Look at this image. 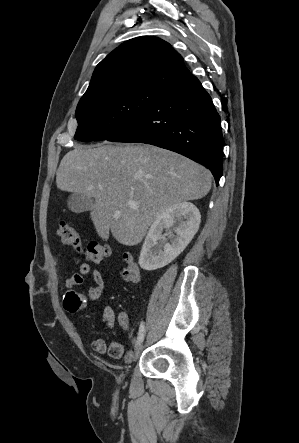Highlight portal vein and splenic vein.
Here are the masks:
<instances>
[{
    "label": "portal vein and splenic vein",
    "instance_id": "18ae733b",
    "mask_svg": "<svg viewBox=\"0 0 299 443\" xmlns=\"http://www.w3.org/2000/svg\"><path fill=\"white\" fill-rule=\"evenodd\" d=\"M99 189H103V188L100 186ZM128 205H129L130 207H134V208L137 207V204H136L135 202H133V201H129V202H128Z\"/></svg>",
    "mask_w": 299,
    "mask_h": 443
}]
</instances>
